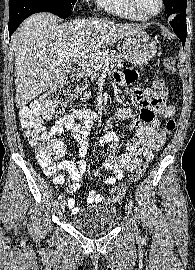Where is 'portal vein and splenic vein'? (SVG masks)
<instances>
[{
    "mask_svg": "<svg viewBox=\"0 0 195 270\" xmlns=\"http://www.w3.org/2000/svg\"><path fill=\"white\" fill-rule=\"evenodd\" d=\"M70 57H83V58H92V59H99L101 61L108 60V55L106 52H94L88 49H76L70 52H62Z\"/></svg>",
    "mask_w": 195,
    "mask_h": 270,
    "instance_id": "1",
    "label": "portal vein and splenic vein"
}]
</instances>
